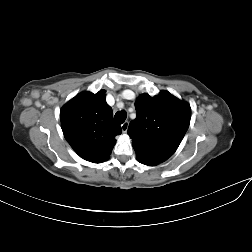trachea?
I'll list each match as a JSON object with an SVG mask.
<instances>
[{
    "instance_id": "3493384b",
    "label": "trachea",
    "mask_w": 252,
    "mask_h": 252,
    "mask_svg": "<svg viewBox=\"0 0 252 252\" xmlns=\"http://www.w3.org/2000/svg\"><path fill=\"white\" fill-rule=\"evenodd\" d=\"M126 117H127V114L125 111H118L116 114H115V121L117 123H120L122 124L125 120H126Z\"/></svg>"
}]
</instances>
